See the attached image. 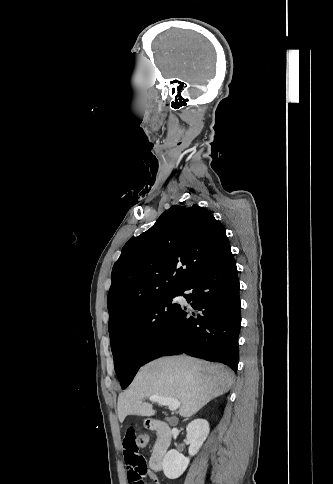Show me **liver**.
Listing matches in <instances>:
<instances>
[{
	"label": "liver",
	"mask_w": 333,
	"mask_h": 484,
	"mask_svg": "<svg viewBox=\"0 0 333 484\" xmlns=\"http://www.w3.org/2000/svg\"><path fill=\"white\" fill-rule=\"evenodd\" d=\"M233 374L220 364L189 356L159 358L143 366L131 385L118 397V417L153 416L152 404L142 402L153 395L178 399L179 414L191 417L211 399L229 391Z\"/></svg>",
	"instance_id": "obj_1"
}]
</instances>
